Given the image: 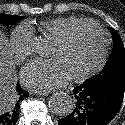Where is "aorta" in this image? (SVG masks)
<instances>
[{"mask_svg": "<svg viewBox=\"0 0 125 125\" xmlns=\"http://www.w3.org/2000/svg\"><path fill=\"white\" fill-rule=\"evenodd\" d=\"M52 45L50 41L41 39L37 45V52L40 56L46 57L50 54ZM50 110L59 116H68L74 109V100L66 92L59 91L54 93L49 99Z\"/></svg>", "mask_w": 125, "mask_h": 125, "instance_id": "1", "label": "aorta"}]
</instances>
